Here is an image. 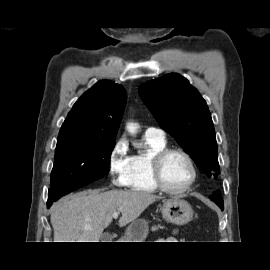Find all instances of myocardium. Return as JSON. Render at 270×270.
I'll list each match as a JSON object with an SVG mask.
<instances>
[{
	"label": "myocardium",
	"mask_w": 270,
	"mask_h": 270,
	"mask_svg": "<svg viewBox=\"0 0 270 270\" xmlns=\"http://www.w3.org/2000/svg\"><path fill=\"white\" fill-rule=\"evenodd\" d=\"M173 153L181 154L188 162L191 169L190 181L181 188H170L168 187L162 177V164L165 158ZM150 174L154 185L161 191L168 194H182L187 192L195 184L197 180V168L192 156L184 149L179 147L164 148L155 153L150 160Z\"/></svg>",
	"instance_id": "f54148a6"
}]
</instances>
